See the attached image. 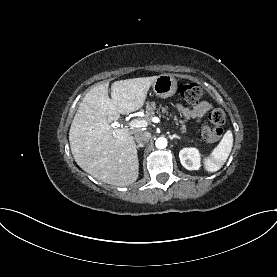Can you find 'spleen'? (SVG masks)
Instances as JSON below:
<instances>
[{
    "instance_id": "obj_1",
    "label": "spleen",
    "mask_w": 277,
    "mask_h": 277,
    "mask_svg": "<svg viewBox=\"0 0 277 277\" xmlns=\"http://www.w3.org/2000/svg\"><path fill=\"white\" fill-rule=\"evenodd\" d=\"M233 147V134L228 130L211 155L205 158L204 165L208 172H216L224 165Z\"/></svg>"
}]
</instances>
